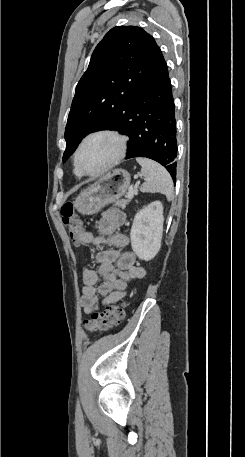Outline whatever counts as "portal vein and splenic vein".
Here are the masks:
<instances>
[{"label":"portal vein and splenic vein","instance_id":"portal-vein-and-splenic-vein-1","mask_svg":"<svg viewBox=\"0 0 245 457\" xmlns=\"http://www.w3.org/2000/svg\"><path fill=\"white\" fill-rule=\"evenodd\" d=\"M135 176H138V174H135ZM128 191L129 192H127L126 198H129V200H130V198H133V196H134V189L131 184L128 186Z\"/></svg>","mask_w":245,"mask_h":457}]
</instances>
